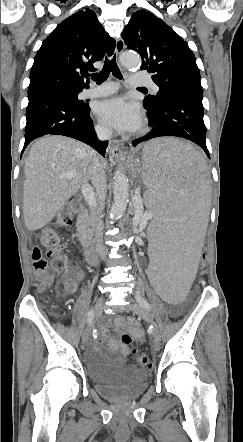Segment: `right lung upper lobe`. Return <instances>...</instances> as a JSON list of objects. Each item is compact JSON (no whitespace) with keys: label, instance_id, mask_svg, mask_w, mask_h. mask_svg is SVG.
I'll return each instance as SVG.
<instances>
[{"label":"right lung upper lobe","instance_id":"cb5924a9","mask_svg":"<svg viewBox=\"0 0 243 442\" xmlns=\"http://www.w3.org/2000/svg\"><path fill=\"white\" fill-rule=\"evenodd\" d=\"M115 41L93 10H80L62 21L44 40L30 72L28 90L57 86L69 91L88 88L93 63L114 53Z\"/></svg>","mask_w":243,"mask_h":442}]
</instances>
